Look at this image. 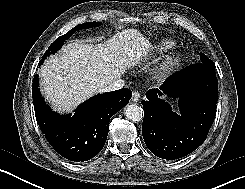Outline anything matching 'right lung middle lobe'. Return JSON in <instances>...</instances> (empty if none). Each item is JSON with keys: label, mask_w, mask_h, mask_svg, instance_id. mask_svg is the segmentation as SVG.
<instances>
[{"label": "right lung middle lobe", "mask_w": 245, "mask_h": 189, "mask_svg": "<svg viewBox=\"0 0 245 189\" xmlns=\"http://www.w3.org/2000/svg\"><path fill=\"white\" fill-rule=\"evenodd\" d=\"M100 22H87L83 24H79L73 29H71L68 33L60 36L57 38L48 48V50L45 52L44 56L42 57V61L44 58H46L50 54H55L63 45V42L68 39L74 32L77 30L83 29V28H90V27H96L99 26Z\"/></svg>", "instance_id": "dd1d6c3e"}]
</instances>
